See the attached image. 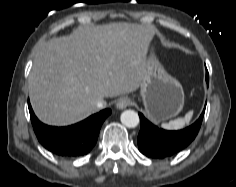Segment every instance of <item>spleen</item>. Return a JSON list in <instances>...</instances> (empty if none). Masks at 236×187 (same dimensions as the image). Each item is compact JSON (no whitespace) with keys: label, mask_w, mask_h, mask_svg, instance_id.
I'll return each instance as SVG.
<instances>
[{"label":"spleen","mask_w":236,"mask_h":187,"mask_svg":"<svg viewBox=\"0 0 236 187\" xmlns=\"http://www.w3.org/2000/svg\"><path fill=\"white\" fill-rule=\"evenodd\" d=\"M193 110L186 113L183 118H177L170 120L168 123H162L161 127L166 130H179L182 129L185 125L189 124L193 116Z\"/></svg>","instance_id":"spleen-1"}]
</instances>
